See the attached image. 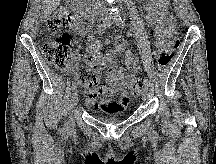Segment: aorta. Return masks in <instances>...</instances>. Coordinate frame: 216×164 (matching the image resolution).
I'll return each mask as SVG.
<instances>
[{"mask_svg": "<svg viewBox=\"0 0 216 164\" xmlns=\"http://www.w3.org/2000/svg\"><path fill=\"white\" fill-rule=\"evenodd\" d=\"M110 2H114L115 0H109Z\"/></svg>", "mask_w": 216, "mask_h": 164, "instance_id": "1", "label": "aorta"}]
</instances>
